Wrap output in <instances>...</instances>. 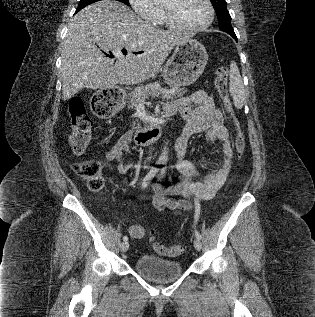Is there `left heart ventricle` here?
Segmentation results:
<instances>
[{
	"instance_id": "obj_1",
	"label": "left heart ventricle",
	"mask_w": 315,
	"mask_h": 317,
	"mask_svg": "<svg viewBox=\"0 0 315 317\" xmlns=\"http://www.w3.org/2000/svg\"><path fill=\"white\" fill-rule=\"evenodd\" d=\"M163 7L172 11L175 18L186 26H200L208 18L204 0H167Z\"/></svg>"
}]
</instances>
